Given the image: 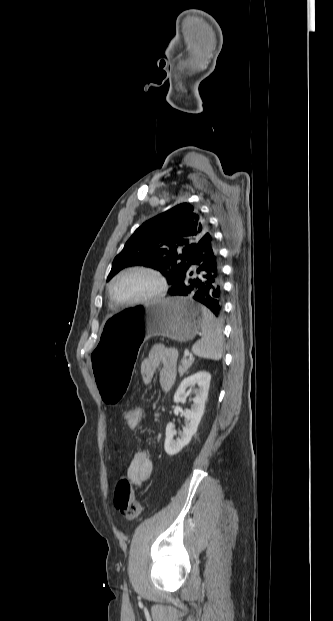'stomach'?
<instances>
[{"label":"stomach","instance_id":"1","mask_svg":"<svg viewBox=\"0 0 333 621\" xmlns=\"http://www.w3.org/2000/svg\"><path fill=\"white\" fill-rule=\"evenodd\" d=\"M203 306L189 298L170 297L109 315L93 347V380L102 408L114 412L133 385L142 339L163 336L188 342L201 330Z\"/></svg>","mask_w":333,"mask_h":621}]
</instances>
